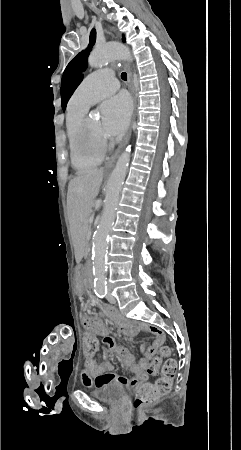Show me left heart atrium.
Segmentation results:
<instances>
[{
  "mask_svg": "<svg viewBox=\"0 0 241 450\" xmlns=\"http://www.w3.org/2000/svg\"><path fill=\"white\" fill-rule=\"evenodd\" d=\"M109 114L107 127L114 137L121 136L129 125L132 115V102L125 93H120L105 104Z\"/></svg>",
  "mask_w": 241,
  "mask_h": 450,
  "instance_id": "obj_1",
  "label": "left heart atrium"
}]
</instances>
